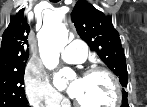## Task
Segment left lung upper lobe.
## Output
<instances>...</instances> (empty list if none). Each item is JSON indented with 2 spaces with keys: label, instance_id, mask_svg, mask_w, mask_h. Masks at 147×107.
<instances>
[{
  "label": "left lung upper lobe",
  "instance_id": "left-lung-upper-lobe-1",
  "mask_svg": "<svg viewBox=\"0 0 147 107\" xmlns=\"http://www.w3.org/2000/svg\"><path fill=\"white\" fill-rule=\"evenodd\" d=\"M71 16L81 39L119 77L121 85L127 87L125 54L119 33L113 27L112 19L85 0H78ZM123 99H127L124 89Z\"/></svg>",
  "mask_w": 147,
  "mask_h": 107
}]
</instances>
